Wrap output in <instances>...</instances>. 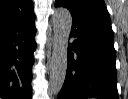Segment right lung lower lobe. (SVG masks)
<instances>
[{"mask_svg":"<svg viewBox=\"0 0 128 99\" xmlns=\"http://www.w3.org/2000/svg\"><path fill=\"white\" fill-rule=\"evenodd\" d=\"M35 15L30 14L0 32V97L32 98Z\"/></svg>","mask_w":128,"mask_h":99,"instance_id":"1","label":"right lung lower lobe"}]
</instances>
